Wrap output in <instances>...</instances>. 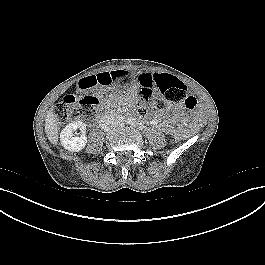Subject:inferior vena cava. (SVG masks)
<instances>
[{"label": "inferior vena cava", "instance_id": "inferior-vena-cava-1", "mask_svg": "<svg viewBox=\"0 0 265 265\" xmlns=\"http://www.w3.org/2000/svg\"><path fill=\"white\" fill-rule=\"evenodd\" d=\"M117 122L113 115L105 114L99 120V126L103 131H109L116 126Z\"/></svg>", "mask_w": 265, "mask_h": 265}]
</instances>
